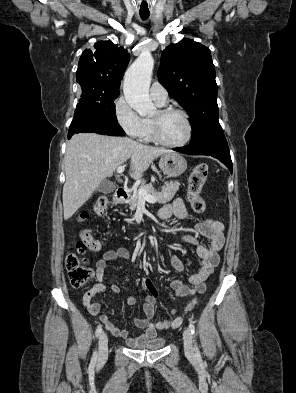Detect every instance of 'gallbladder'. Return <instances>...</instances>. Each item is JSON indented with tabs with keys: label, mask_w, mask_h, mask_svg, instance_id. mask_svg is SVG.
<instances>
[{
	"label": "gallbladder",
	"mask_w": 296,
	"mask_h": 393,
	"mask_svg": "<svg viewBox=\"0 0 296 393\" xmlns=\"http://www.w3.org/2000/svg\"><path fill=\"white\" fill-rule=\"evenodd\" d=\"M115 189H116V185L113 182L105 179L98 186L97 191L104 194H110Z\"/></svg>",
	"instance_id": "gallbladder-1"
}]
</instances>
